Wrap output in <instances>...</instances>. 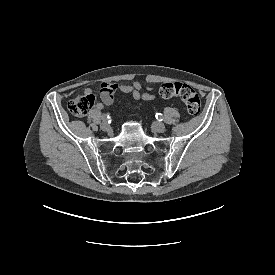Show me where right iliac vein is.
Wrapping results in <instances>:
<instances>
[{
	"instance_id": "right-iliac-vein-1",
	"label": "right iliac vein",
	"mask_w": 275,
	"mask_h": 275,
	"mask_svg": "<svg viewBox=\"0 0 275 275\" xmlns=\"http://www.w3.org/2000/svg\"><path fill=\"white\" fill-rule=\"evenodd\" d=\"M100 128L103 130V131H108L110 129V126L109 124L106 122V121H103L101 124H100Z\"/></svg>"
}]
</instances>
